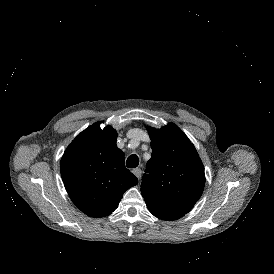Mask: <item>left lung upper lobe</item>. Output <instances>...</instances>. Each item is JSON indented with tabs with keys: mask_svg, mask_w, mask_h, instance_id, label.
I'll return each mask as SVG.
<instances>
[{
	"mask_svg": "<svg viewBox=\"0 0 274 274\" xmlns=\"http://www.w3.org/2000/svg\"><path fill=\"white\" fill-rule=\"evenodd\" d=\"M152 154L142 177L145 200L167 209L188 213L205 185L203 164L193 144L175 124L148 128Z\"/></svg>",
	"mask_w": 274,
	"mask_h": 274,
	"instance_id": "5c2ea615",
	"label": "left lung upper lobe"
}]
</instances>
